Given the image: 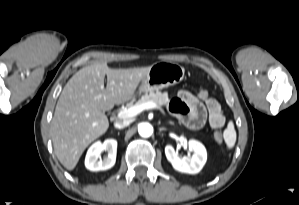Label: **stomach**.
I'll list each match as a JSON object with an SVG mask.
<instances>
[{
    "label": "stomach",
    "mask_w": 299,
    "mask_h": 205,
    "mask_svg": "<svg viewBox=\"0 0 299 205\" xmlns=\"http://www.w3.org/2000/svg\"><path fill=\"white\" fill-rule=\"evenodd\" d=\"M185 69L179 64L169 62L154 63L142 79L139 93H150L181 82Z\"/></svg>",
    "instance_id": "stomach-1"
}]
</instances>
